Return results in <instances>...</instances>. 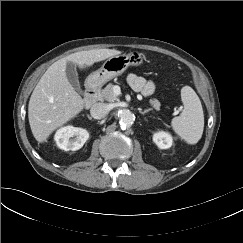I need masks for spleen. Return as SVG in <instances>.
Wrapping results in <instances>:
<instances>
[{
  "mask_svg": "<svg viewBox=\"0 0 243 243\" xmlns=\"http://www.w3.org/2000/svg\"><path fill=\"white\" fill-rule=\"evenodd\" d=\"M184 105L182 113L171 121L173 131L188 144H196L202 137L204 114L201 101L190 86L181 89Z\"/></svg>",
  "mask_w": 243,
  "mask_h": 243,
  "instance_id": "1",
  "label": "spleen"
}]
</instances>
